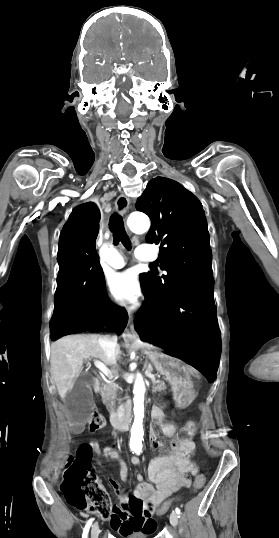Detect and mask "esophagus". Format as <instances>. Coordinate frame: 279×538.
<instances>
[{
  "label": "esophagus",
  "instance_id": "1",
  "mask_svg": "<svg viewBox=\"0 0 279 538\" xmlns=\"http://www.w3.org/2000/svg\"><path fill=\"white\" fill-rule=\"evenodd\" d=\"M128 208H129V198L126 197V195H119V197L116 199V202H115V209L117 213H119V215H123L124 213L127 212ZM123 335L127 339L139 338L137 332L134 329L132 316L130 317V321Z\"/></svg>",
  "mask_w": 279,
  "mask_h": 538
}]
</instances>
